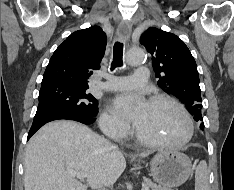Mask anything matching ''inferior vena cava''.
I'll list each match as a JSON object with an SVG mask.
<instances>
[{
    "label": "inferior vena cava",
    "mask_w": 234,
    "mask_h": 190,
    "mask_svg": "<svg viewBox=\"0 0 234 190\" xmlns=\"http://www.w3.org/2000/svg\"><path fill=\"white\" fill-rule=\"evenodd\" d=\"M113 148H116V146H113ZM97 190H107L105 189L104 185L98 186Z\"/></svg>",
    "instance_id": "obj_1"
}]
</instances>
